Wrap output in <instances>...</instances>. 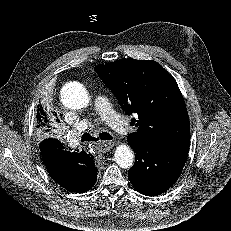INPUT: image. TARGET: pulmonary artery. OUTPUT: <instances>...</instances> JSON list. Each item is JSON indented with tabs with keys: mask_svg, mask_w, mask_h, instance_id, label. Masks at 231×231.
Wrapping results in <instances>:
<instances>
[{
	"mask_svg": "<svg viewBox=\"0 0 231 231\" xmlns=\"http://www.w3.org/2000/svg\"><path fill=\"white\" fill-rule=\"evenodd\" d=\"M93 108L99 113L102 119L117 132L125 133L129 130L128 122L112 108L104 95L97 94L94 97ZM87 125V120H82L76 130H82L86 128Z\"/></svg>",
	"mask_w": 231,
	"mask_h": 231,
	"instance_id": "obj_1",
	"label": "pulmonary artery"
}]
</instances>
